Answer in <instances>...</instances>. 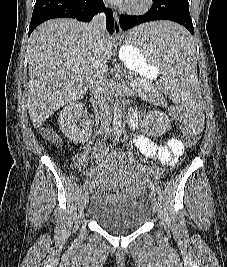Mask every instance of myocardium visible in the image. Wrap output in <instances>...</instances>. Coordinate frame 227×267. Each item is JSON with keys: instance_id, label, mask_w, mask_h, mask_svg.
I'll return each instance as SVG.
<instances>
[{"instance_id": "1", "label": "myocardium", "mask_w": 227, "mask_h": 267, "mask_svg": "<svg viewBox=\"0 0 227 267\" xmlns=\"http://www.w3.org/2000/svg\"><path fill=\"white\" fill-rule=\"evenodd\" d=\"M153 0H133L127 7V10L134 15L146 13L151 9Z\"/></svg>"}]
</instances>
